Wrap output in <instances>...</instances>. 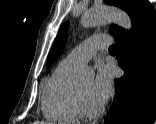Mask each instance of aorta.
Returning a JSON list of instances; mask_svg holds the SVG:
<instances>
[{
	"label": "aorta",
	"mask_w": 156,
	"mask_h": 124,
	"mask_svg": "<svg viewBox=\"0 0 156 124\" xmlns=\"http://www.w3.org/2000/svg\"><path fill=\"white\" fill-rule=\"evenodd\" d=\"M106 22H113L126 30H130L132 27L129 15L117 8L91 9L82 17V24L85 27L96 26ZM90 73H92V70L87 67L80 70V75H89Z\"/></svg>",
	"instance_id": "obj_1"
}]
</instances>
